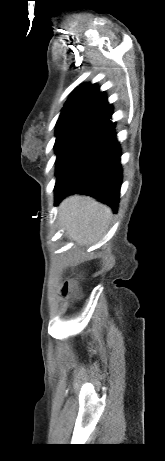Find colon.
Returning a JSON list of instances; mask_svg holds the SVG:
<instances>
[{
  "label": "colon",
  "mask_w": 165,
  "mask_h": 461,
  "mask_svg": "<svg viewBox=\"0 0 165 461\" xmlns=\"http://www.w3.org/2000/svg\"><path fill=\"white\" fill-rule=\"evenodd\" d=\"M73 292V286L72 284L66 282L62 288V296L63 297H68L70 293ZM73 298L76 300L79 298V294L77 292L73 293Z\"/></svg>",
  "instance_id": "obj_1"
}]
</instances>
